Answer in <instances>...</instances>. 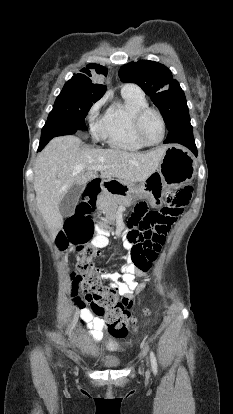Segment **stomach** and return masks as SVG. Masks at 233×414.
<instances>
[{"label": "stomach", "mask_w": 233, "mask_h": 414, "mask_svg": "<svg viewBox=\"0 0 233 414\" xmlns=\"http://www.w3.org/2000/svg\"><path fill=\"white\" fill-rule=\"evenodd\" d=\"M195 164L192 156L185 150L169 146L157 170L148 174V179L139 185L121 182L116 187L115 195H120L127 202H133L141 197L149 199L156 205L158 198L170 188L179 187L190 181L194 174Z\"/></svg>", "instance_id": "0dacf381"}]
</instances>
